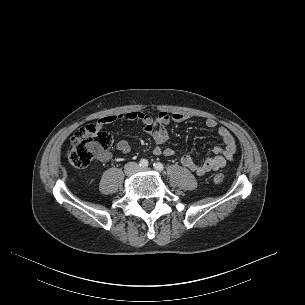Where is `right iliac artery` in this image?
Returning a JSON list of instances; mask_svg holds the SVG:
<instances>
[{
    "label": "right iliac artery",
    "instance_id": "1",
    "mask_svg": "<svg viewBox=\"0 0 305 305\" xmlns=\"http://www.w3.org/2000/svg\"><path fill=\"white\" fill-rule=\"evenodd\" d=\"M148 161L146 159H141V161L139 162L140 167L145 168L148 166Z\"/></svg>",
    "mask_w": 305,
    "mask_h": 305
}]
</instances>
